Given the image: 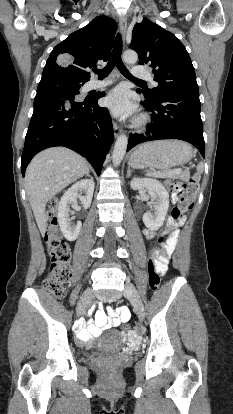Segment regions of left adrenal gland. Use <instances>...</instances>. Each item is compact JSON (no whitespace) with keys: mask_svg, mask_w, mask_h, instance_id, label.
Instances as JSON below:
<instances>
[{"mask_svg":"<svg viewBox=\"0 0 233 414\" xmlns=\"http://www.w3.org/2000/svg\"><path fill=\"white\" fill-rule=\"evenodd\" d=\"M131 172H133V171L131 170L130 166H128V169H127V175H126V176H127V178L130 176V173H131Z\"/></svg>","mask_w":233,"mask_h":414,"instance_id":"left-adrenal-gland-1","label":"left adrenal gland"}]
</instances>
